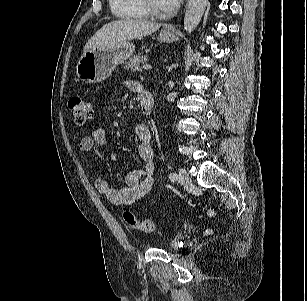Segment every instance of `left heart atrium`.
Instances as JSON below:
<instances>
[{"mask_svg":"<svg viewBox=\"0 0 307 301\" xmlns=\"http://www.w3.org/2000/svg\"><path fill=\"white\" fill-rule=\"evenodd\" d=\"M168 10L175 8L181 0H161Z\"/></svg>","mask_w":307,"mask_h":301,"instance_id":"left-heart-atrium-1","label":"left heart atrium"}]
</instances>
